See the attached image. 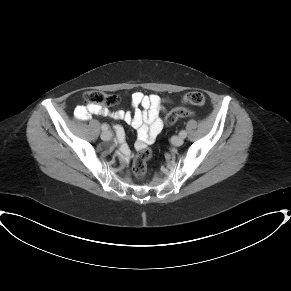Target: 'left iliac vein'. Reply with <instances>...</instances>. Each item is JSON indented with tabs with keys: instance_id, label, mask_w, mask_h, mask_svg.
Wrapping results in <instances>:
<instances>
[{
	"instance_id": "4c4485c4",
	"label": "left iliac vein",
	"mask_w": 291,
	"mask_h": 291,
	"mask_svg": "<svg viewBox=\"0 0 291 291\" xmlns=\"http://www.w3.org/2000/svg\"><path fill=\"white\" fill-rule=\"evenodd\" d=\"M171 142L175 146H180L183 144L184 139L181 136H174L171 138Z\"/></svg>"
}]
</instances>
